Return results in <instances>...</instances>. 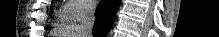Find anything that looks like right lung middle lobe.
<instances>
[{
    "label": "right lung middle lobe",
    "mask_w": 219,
    "mask_h": 37,
    "mask_svg": "<svg viewBox=\"0 0 219 37\" xmlns=\"http://www.w3.org/2000/svg\"><path fill=\"white\" fill-rule=\"evenodd\" d=\"M51 8H52V7H51ZM52 13H53V11L51 10V11H50V14H52Z\"/></svg>",
    "instance_id": "obj_1"
}]
</instances>
